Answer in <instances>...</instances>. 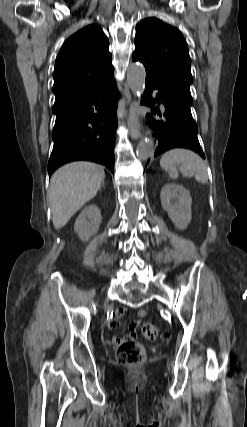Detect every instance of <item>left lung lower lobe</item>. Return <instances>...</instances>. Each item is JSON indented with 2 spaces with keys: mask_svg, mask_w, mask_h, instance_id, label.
<instances>
[{
  "mask_svg": "<svg viewBox=\"0 0 247 427\" xmlns=\"http://www.w3.org/2000/svg\"><path fill=\"white\" fill-rule=\"evenodd\" d=\"M153 89L159 90L156 99H152L151 92ZM156 102L164 105V113L154 107ZM141 104L152 108V114H147L146 119L158 139L155 157L173 148H187L205 158L198 141L197 125L193 120L190 106L183 104L148 82H146ZM153 114L162 117V119L154 118Z\"/></svg>",
  "mask_w": 247,
  "mask_h": 427,
  "instance_id": "obj_1",
  "label": "left lung lower lobe"
}]
</instances>
